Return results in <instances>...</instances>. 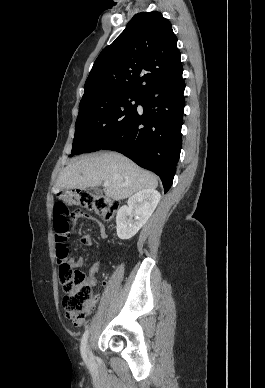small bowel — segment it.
I'll list each match as a JSON object with an SVG mask.
<instances>
[{"mask_svg": "<svg viewBox=\"0 0 265 388\" xmlns=\"http://www.w3.org/2000/svg\"><path fill=\"white\" fill-rule=\"evenodd\" d=\"M71 218L73 221H76L78 218H84V219H88V220H94V218L84 212V211H75L71 214ZM99 235L101 238H106L107 237V233L105 231V229L101 228L99 230ZM81 243L85 246H92L94 244V239L89 236V235H85V236H82L81 237ZM68 263L70 264L71 267H79L81 265H83V259L82 258H70L68 260ZM100 267H101V262L100 261H96L95 263H93V265L90 267L89 269V272H88V276H87V283L89 286H95L97 284V278H96V275L97 273L99 272L100 270ZM102 286L103 287H106V282H103L102 283ZM101 296V293H98L94 299L90 302L89 306L87 307L86 309V313L85 315H88L92 312L93 308H94V305L96 304V302L99 300ZM83 323V319H81L77 324H75L76 326H81Z\"/></svg>", "mask_w": 265, "mask_h": 388, "instance_id": "c3829d8e", "label": "small bowel"}]
</instances>
